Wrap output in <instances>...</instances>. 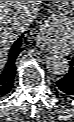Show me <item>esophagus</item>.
<instances>
[{"mask_svg": "<svg viewBox=\"0 0 74 122\" xmlns=\"http://www.w3.org/2000/svg\"><path fill=\"white\" fill-rule=\"evenodd\" d=\"M48 45V29L46 25H43L38 34V46L41 49H45Z\"/></svg>", "mask_w": 74, "mask_h": 122, "instance_id": "esophagus-1", "label": "esophagus"}]
</instances>
